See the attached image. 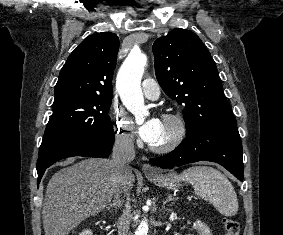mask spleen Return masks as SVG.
Returning <instances> with one entry per match:
<instances>
[{
    "label": "spleen",
    "instance_id": "obj_1",
    "mask_svg": "<svg viewBox=\"0 0 283 235\" xmlns=\"http://www.w3.org/2000/svg\"><path fill=\"white\" fill-rule=\"evenodd\" d=\"M179 178L190 183L195 194L212 204L222 215L237 214V194L220 171L208 166H193L184 170Z\"/></svg>",
    "mask_w": 283,
    "mask_h": 235
}]
</instances>
